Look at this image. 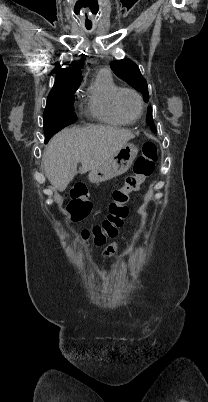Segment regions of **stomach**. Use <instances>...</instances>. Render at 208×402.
<instances>
[{
    "label": "stomach",
    "instance_id": "stomach-1",
    "mask_svg": "<svg viewBox=\"0 0 208 402\" xmlns=\"http://www.w3.org/2000/svg\"><path fill=\"white\" fill-rule=\"evenodd\" d=\"M137 154L138 148L134 144H124L123 148H120L118 152L110 156L109 160H106L104 164L91 170L88 174V180L92 184H100V182H107L111 178L125 174L131 168Z\"/></svg>",
    "mask_w": 208,
    "mask_h": 402
}]
</instances>
